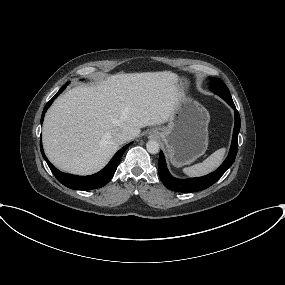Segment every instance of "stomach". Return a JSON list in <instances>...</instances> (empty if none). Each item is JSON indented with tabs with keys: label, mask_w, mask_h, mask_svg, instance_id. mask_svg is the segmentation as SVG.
Wrapping results in <instances>:
<instances>
[{
	"label": "stomach",
	"mask_w": 285,
	"mask_h": 285,
	"mask_svg": "<svg viewBox=\"0 0 285 285\" xmlns=\"http://www.w3.org/2000/svg\"><path fill=\"white\" fill-rule=\"evenodd\" d=\"M181 96L166 126L155 127L151 134L167 147L171 163L181 167L194 162L208 147L209 112L199 102L185 95L187 79L178 77Z\"/></svg>",
	"instance_id": "obj_1"
}]
</instances>
